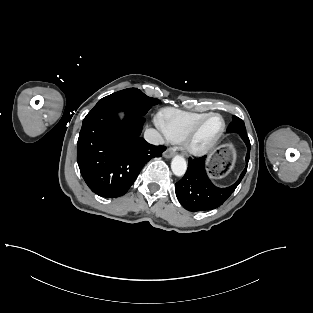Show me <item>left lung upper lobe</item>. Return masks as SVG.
Masks as SVG:
<instances>
[{"label": "left lung upper lobe", "instance_id": "5c2ea615", "mask_svg": "<svg viewBox=\"0 0 313 313\" xmlns=\"http://www.w3.org/2000/svg\"><path fill=\"white\" fill-rule=\"evenodd\" d=\"M228 133H246L244 121L237 116L232 117V122L227 128Z\"/></svg>", "mask_w": 313, "mask_h": 313}]
</instances>
